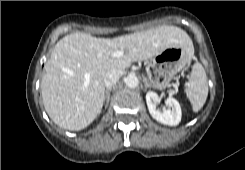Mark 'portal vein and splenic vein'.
I'll return each instance as SVG.
<instances>
[{
	"label": "portal vein and splenic vein",
	"mask_w": 245,
	"mask_h": 170,
	"mask_svg": "<svg viewBox=\"0 0 245 170\" xmlns=\"http://www.w3.org/2000/svg\"><path fill=\"white\" fill-rule=\"evenodd\" d=\"M123 55V51H117L112 54L113 57H121Z\"/></svg>",
	"instance_id": "18ae733b"
}]
</instances>
